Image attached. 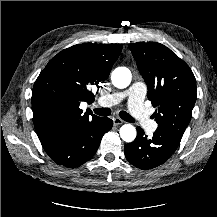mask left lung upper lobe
Here are the masks:
<instances>
[{
  "label": "left lung upper lobe",
  "instance_id": "left-lung-upper-lobe-1",
  "mask_svg": "<svg viewBox=\"0 0 217 217\" xmlns=\"http://www.w3.org/2000/svg\"><path fill=\"white\" fill-rule=\"evenodd\" d=\"M129 48L148 87V99L157 107L152 117L158 128L182 138L197 97L191 69L160 43L138 42Z\"/></svg>",
  "mask_w": 217,
  "mask_h": 217
}]
</instances>
